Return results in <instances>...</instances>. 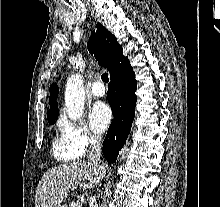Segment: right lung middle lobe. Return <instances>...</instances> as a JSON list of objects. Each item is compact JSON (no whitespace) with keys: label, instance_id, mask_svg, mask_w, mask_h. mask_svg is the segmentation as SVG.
<instances>
[{"label":"right lung middle lobe","instance_id":"dd1d6c3e","mask_svg":"<svg viewBox=\"0 0 220 207\" xmlns=\"http://www.w3.org/2000/svg\"><path fill=\"white\" fill-rule=\"evenodd\" d=\"M57 119H58V116L55 117L53 120H49L48 122H49L50 124H54V123L56 122Z\"/></svg>","mask_w":220,"mask_h":207}]
</instances>
